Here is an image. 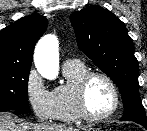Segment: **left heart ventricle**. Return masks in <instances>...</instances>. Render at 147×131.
I'll list each match as a JSON object with an SVG mask.
<instances>
[{
	"label": "left heart ventricle",
	"instance_id": "left-heart-ventricle-1",
	"mask_svg": "<svg viewBox=\"0 0 147 131\" xmlns=\"http://www.w3.org/2000/svg\"><path fill=\"white\" fill-rule=\"evenodd\" d=\"M86 105L93 115L107 113L113 105V93L109 84L101 77L90 80L86 89Z\"/></svg>",
	"mask_w": 147,
	"mask_h": 131
}]
</instances>
